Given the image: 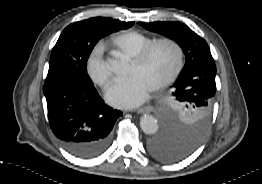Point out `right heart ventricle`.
<instances>
[{
	"mask_svg": "<svg viewBox=\"0 0 262 184\" xmlns=\"http://www.w3.org/2000/svg\"><path fill=\"white\" fill-rule=\"evenodd\" d=\"M157 40L139 31L129 30L118 34L113 45L118 53L134 58L146 46Z\"/></svg>",
	"mask_w": 262,
	"mask_h": 184,
	"instance_id": "e07e8e85",
	"label": "right heart ventricle"
}]
</instances>
